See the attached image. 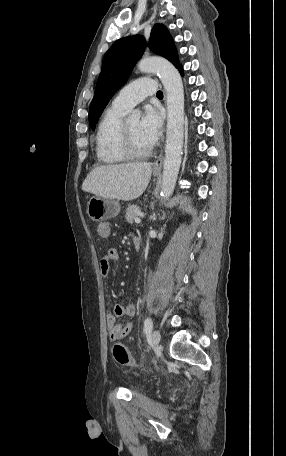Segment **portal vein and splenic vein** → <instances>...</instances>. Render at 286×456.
Wrapping results in <instances>:
<instances>
[{
    "instance_id": "obj_1",
    "label": "portal vein and splenic vein",
    "mask_w": 286,
    "mask_h": 456,
    "mask_svg": "<svg viewBox=\"0 0 286 456\" xmlns=\"http://www.w3.org/2000/svg\"><path fill=\"white\" fill-rule=\"evenodd\" d=\"M135 223H141V219L138 218V217H136V218H135Z\"/></svg>"
}]
</instances>
